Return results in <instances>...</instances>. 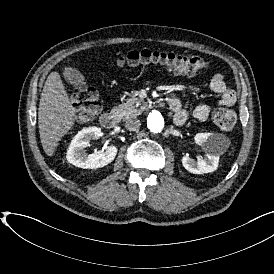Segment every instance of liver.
<instances>
[{
  "label": "liver",
  "instance_id": "6515ba94",
  "mask_svg": "<svg viewBox=\"0 0 274 274\" xmlns=\"http://www.w3.org/2000/svg\"><path fill=\"white\" fill-rule=\"evenodd\" d=\"M62 70V76L69 83L80 72L66 65ZM76 110L60 73L53 71L45 81L38 108L40 140L48 157L54 155L59 142L75 126Z\"/></svg>",
  "mask_w": 274,
  "mask_h": 274
}]
</instances>
